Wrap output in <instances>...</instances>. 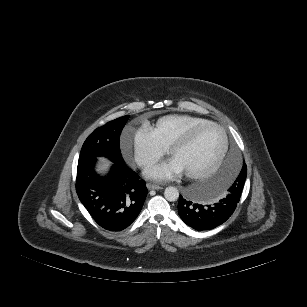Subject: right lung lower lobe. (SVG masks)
Masks as SVG:
<instances>
[{
    "mask_svg": "<svg viewBox=\"0 0 307 307\" xmlns=\"http://www.w3.org/2000/svg\"><path fill=\"white\" fill-rule=\"evenodd\" d=\"M96 158L78 162L76 192L92 218L104 229L120 231L140 213L147 196L145 181L125 165L113 162L107 176L95 171Z\"/></svg>",
    "mask_w": 307,
    "mask_h": 307,
    "instance_id": "obj_1",
    "label": "right lung lower lobe"
}]
</instances>
